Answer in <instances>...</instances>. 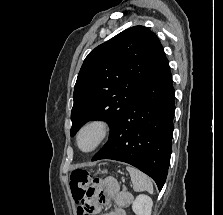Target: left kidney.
I'll return each instance as SVG.
<instances>
[{
	"instance_id": "1",
	"label": "left kidney",
	"mask_w": 223,
	"mask_h": 215,
	"mask_svg": "<svg viewBox=\"0 0 223 215\" xmlns=\"http://www.w3.org/2000/svg\"><path fill=\"white\" fill-rule=\"evenodd\" d=\"M153 201L149 195L140 193L132 203V209L136 215H151Z\"/></svg>"
}]
</instances>
